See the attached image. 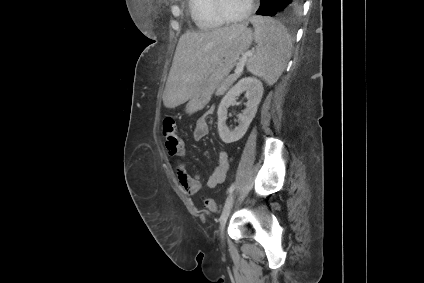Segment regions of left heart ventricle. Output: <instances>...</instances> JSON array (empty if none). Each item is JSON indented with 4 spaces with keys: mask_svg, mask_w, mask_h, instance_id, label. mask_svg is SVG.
<instances>
[{
    "mask_svg": "<svg viewBox=\"0 0 424 283\" xmlns=\"http://www.w3.org/2000/svg\"><path fill=\"white\" fill-rule=\"evenodd\" d=\"M250 0H223V5L228 14L237 16L246 11Z\"/></svg>",
    "mask_w": 424,
    "mask_h": 283,
    "instance_id": "1",
    "label": "left heart ventricle"
}]
</instances>
